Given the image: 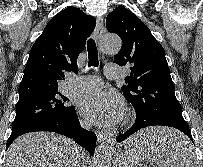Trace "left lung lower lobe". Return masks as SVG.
<instances>
[{
  "label": "left lung lower lobe",
  "mask_w": 203,
  "mask_h": 167,
  "mask_svg": "<svg viewBox=\"0 0 203 167\" xmlns=\"http://www.w3.org/2000/svg\"><path fill=\"white\" fill-rule=\"evenodd\" d=\"M157 125L176 128V129L180 130L181 132H183L185 134V136H187L193 142L191 131L189 129V125L187 124V122L184 120V118L182 116H167V117L151 119V120L136 119V122L132 125V127L129 130H127L125 133L121 134L117 138V141L122 142L123 140L128 138L130 135L134 134L135 132H137L138 130H140L142 128H146L149 126H157ZM185 139H186V145H189L188 144L189 142L187 141L186 137H185ZM151 146H156V142L154 140L141 141L140 143H136L134 145V148L135 149H137L138 147L148 148Z\"/></svg>",
  "instance_id": "left-lung-lower-lobe-1"
}]
</instances>
